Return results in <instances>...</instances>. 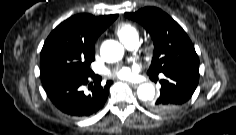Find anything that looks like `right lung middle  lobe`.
<instances>
[{
    "mask_svg": "<svg viewBox=\"0 0 236 135\" xmlns=\"http://www.w3.org/2000/svg\"><path fill=\"white\" fill-rule=\"evenodd\" d=\"M95 59L94 43L71 32L50 35L41 51V71H74L90 73Z\"/></svg>",
    "mask_w": 236,
    "mask_h": 135,
    "instance_id": "right-lung-middle-lobe-1",
    "label": "right lung middle lobe"
}]
</instances>
